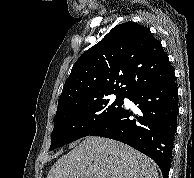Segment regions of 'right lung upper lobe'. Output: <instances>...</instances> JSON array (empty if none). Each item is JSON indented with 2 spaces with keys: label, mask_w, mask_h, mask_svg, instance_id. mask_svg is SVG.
<instances>
[{
  "label": "right lung upper lobe",
  "mask_w": 194,
  "mask_h": 178,
  "mask_svg": "<svg viewBox=\"0 0 194 178\" xmlns=\"http://www.w3.org/2000/svg\"><path fill=\"white\" fill-rule=\"evenodd\" d=\"M174 73L161 42L135 22L115 26L75 62L58 101V109L84 100L133 91Z\"/></svg>",
  "instance_id": "cb5924a9"
}]
</instances>
